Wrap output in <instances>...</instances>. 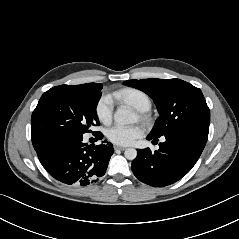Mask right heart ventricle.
I'll return each mask as SVG.
<instances>
[{"label":"right heart ventricle","instance_id":"1","mask_svg":"<svg viewBox=\"0 0 239 239\" xmlns=\"http://www.w3.org/2000/svg\"><path fill=\"white\" fill-rule=\"evenodd\" d=\"M115 97L141 112H145L151 107L150 98L147 96V94L138 89H124L116 93Z\"/></svg>","mask_w":239,"mask_h":239}]
</instances>
